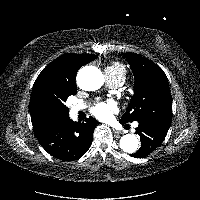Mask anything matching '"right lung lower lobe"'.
Listing matches in <instances>:
<instances>
[{
	"label": "right lung lower lobe",
	"instance_id": "obj_1",
	"mask_svg": "<svg viewBox=\"0 0 200 200\" xmlns=\"http://www.w3.org/2000/svg\"><path fill=\"white\" fill-rule=\"evenodd\" d=\"M98 121L92 117L75 123L68 115L45 117L33 126L44 149L63 161L79 159L90 148Z\"/></svg>",
	"mask_w": 200,
	"mask_h": 200
}]
</instances>
